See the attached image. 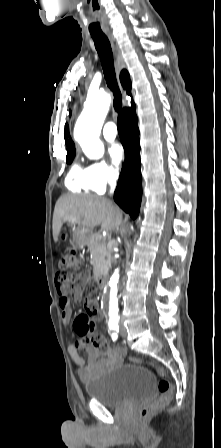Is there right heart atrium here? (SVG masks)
Instances as JSON below:
<instances>
[{
    "mask_svg": "<svg viewBox=\"0 0 221 448\" xmlns=\"http://www.w3.org/2000/svg\"><path fill=\"white\" fill-rule=\"evenodd\" d=\"M85 173L89 188L95 192L105 191L116 184L119 178L118 170L105 161L92 162Z\"/></svg>",
    "mask_w": 221,
    "mask_h": 448,
    "instance_id": "1",
    "label": "right heart atrium"
}]
</instances>
